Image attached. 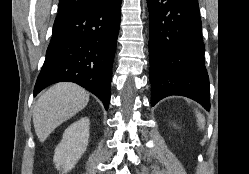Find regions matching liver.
<instances>
[{
	"instance_id": "6515ba94",
	"label": "liver",
	"mask_w": 249,
	"mask_h": 174,
	"mask_svg": "<svg viewBox=\"0 0 249 174\" xmlns=\"http://www.w3.org/2000/svg\"><path fill=\"white\" fill-rule=\"evenodd\" d=\"M89 94L74 83H57L44 92L33 110V124L40 142L63 122L86 107Z\"/></svg>"
}]
</instances>
